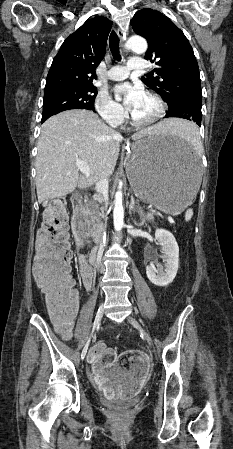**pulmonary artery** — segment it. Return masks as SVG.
<instances>
[{"label": "pulmonary artery", "instance_id": "obj_1", "mask_svg": "<svg viewBox=\"0 0 233 449\" xmlns=\"http://www.w3.org/2000/svg\"><path fill=\"white\" fill-rule=\"evenodd\" d=\"M146 68L145 63L140 58H132L126 66L115 65L107 73L110 80L121 81L128 77L130 71H141Z\"/></svg>", "mask_w": 233, "mask_h": 449}]
</instances>
